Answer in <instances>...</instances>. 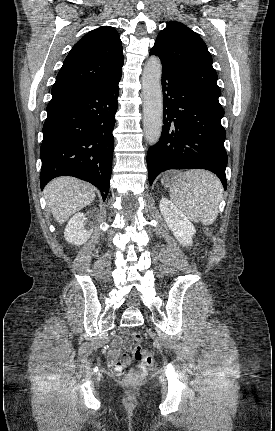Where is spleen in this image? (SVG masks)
Returning a JSON list of instances; mask_svg holds the SVG:
<instances>
[{"instance_id":"3e777b00","label":"spleen","mask_w":275,"mask_h":431,"mask_svg":"<svg viewBox=\"0 0 275 431\" xmlns=\"http://www.w3.org/2000/svg\"><path fill=\"white\" fill-rule=\"evenodd\" d=\"M223 187L211 172L195 169L180 172L169 186L170 198L193 222L208 226L214 223L219 212Z\"/></svg>"}]
</instances>
